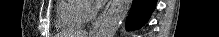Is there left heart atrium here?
<instances>
[{
	"label": "left heart atrium",
	"instance_id": "39dd6f15",
	"mask_svg": "<svg viewBox=\"0 0 219 37\" xmlns=\"http://www.w3.org/2000/svg\"><path fill=\"white\" fill-rule=\"evenodd\" d=\"M96 2H97L98 4H100L102 1H100V0H96Z\"/></svg>",
	"mask_w": 219,
	"mask_h": 37
}]
</instances>
